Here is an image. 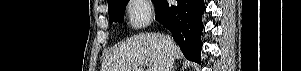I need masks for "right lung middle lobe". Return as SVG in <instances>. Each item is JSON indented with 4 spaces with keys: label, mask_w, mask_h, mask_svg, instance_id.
<instances>
[{
    "label": "right lung middle lobe",
    "mask_w": 301,
    "mask_h": 71,
    "mask_svg": "<svg viewBox=\"0 0 301 71\" xmlns=\"http://www.w3.org/2000/svg\"><path fill=\"white\" fill-rule=\"evenodd\" d=\"M129 0H111L108 2L109 22H121L126 4ZM156 0H154L155 3Z\"/></svg>",
    "instance_id": "1"
}]
</instances>
